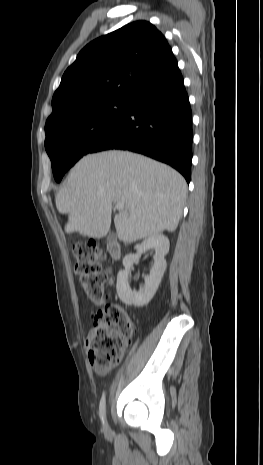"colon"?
<instances>
[{"label": "colon", "mask_w": 263, "mask_h": 465, "mask_svg": "<svg viewBox=\"0 0 263 465\" xmlns=\"http://www.w3.org/2000/svg\"><path fill=\"white\" fill-rule=\"evenodd\" d=\"M73 253L74 270L84 291L91 299L102 298L107 276L103 272L104 255L96 241L76 244ZM131 334V320L121 305L110 303L99 310L87 340L92 366L106 371L117 365Z\"/></svg>", "instance_id": "1"}]
</instances>
